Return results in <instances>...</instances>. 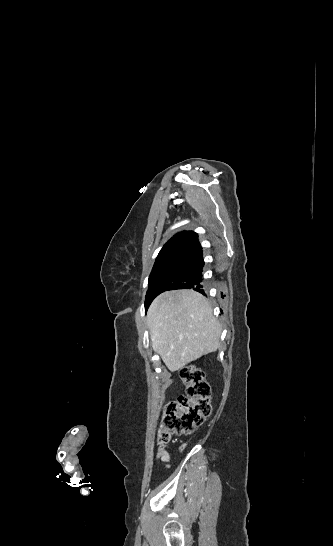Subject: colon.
<instances>
[{
	"label": "colon",
	"mask_w": 333,
	"mask_h": 546,
	"mask_svg": "<svg viewBox=\"0 0 333 546\" xmlns=\"http://www.w3.org/2000/svg\"><path fill=\"white\" fill-rule=\"evenodd\" d=\"M186 394L171 401L163 415V424L158 433V444L166 446L173 434L185 435L194 432L211 414V390L202 369L187 365L180 370Z\"/></svg>",
	"instance_id": "1"
}]
</instances>
